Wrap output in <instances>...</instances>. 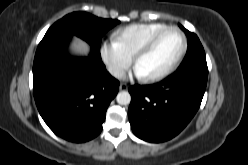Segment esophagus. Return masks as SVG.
I'll list each match as a JSON object with an SVG mask.
<instances>
[{"label":"esophagus","instance_id":"esophagus-1","mask_svg":"<svg viewBox=\"0 0 248 165\" xmlns=\"http://www.w3.org/2000/svg\"><path fill=\"white\" fill-rule=\"evenodd\" d=\"M119 89L122 90H127L128 89V85L127 84H120Z\"/></svg>","mask_w":248,"mask_h":165}]
</instances>
